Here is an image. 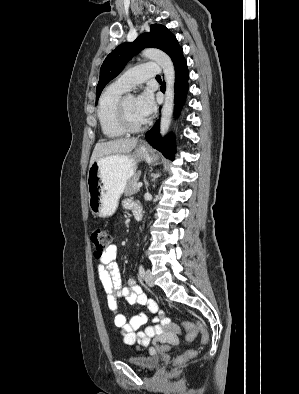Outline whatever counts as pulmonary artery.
I'll return each mask as SVG.
<instances>
[{"label":"pulmonary artery","instance_id":"1","mask_svg":"<svg viewBox=\"0 0 299 394\" xmlns=\"http://www.w3.org/2000/svg\"><path fill=\"white\" fill-rule=\"evenodd\" d=\"M161 70L158 64L146 63L129 69L116 80V84L125 89L131 90L134 86L156 77Z\"/></svg>","mask_w":299,"mask_h":394}]
</instances>
